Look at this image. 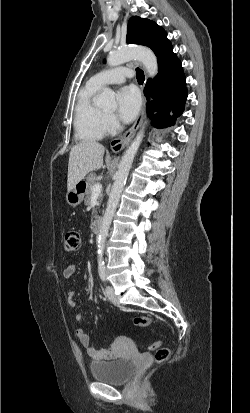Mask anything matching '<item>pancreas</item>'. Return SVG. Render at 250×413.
Returning <instances> with one entry per match:
<instances>
[{"label": "pancreas", "mask_w": 250, "mask_h": 413, "mask_svg": "<svg viewBox=\"0 0 250 413\" xmlns=\"http://www.w3.org/2000/svg\"><path fill=\"white\" fill-rule=\"evenodd\" d=\"M86 179H87V187H86L85 203H86V204H89V203H90V200H91V196H92L93 186H94L95 184L99 183V180H98V178H97V176H96L95 173H90V174H88V176H87ZM102 198H103V195H102V194H99V196H98V201H101Z\"/></svg>", "instance_id": "pancreas-1"}]
</instances>
